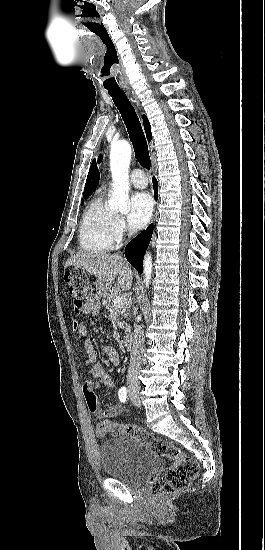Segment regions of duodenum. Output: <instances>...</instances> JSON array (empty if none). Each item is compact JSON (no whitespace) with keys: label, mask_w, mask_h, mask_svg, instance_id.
I'll return each mask as SVG.
<instances>
[{"label":"duodenum","mask_w":265,"mask_h":550,"mask_svg":"<svg viewBox=\"0 0 265 550\" xmlns=\"http://www.w3.org/2000/svg\"><path fill=\"white\" fill-rule=\"evenodd\" d=\"M124 347L127 349V350H133V337L131 334H126L124 336Z\"/></svg>","instance_id":"duodenum-1"}]
</instances>
